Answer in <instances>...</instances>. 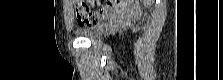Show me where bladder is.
Segmentation results:
<instances>
[{
  "label": "bladder",
  "mask_w": 223,
  "mask_h": 80,
  "mask_svg": "<svg viewBox=\"0 0 223 80\" xmlns=\"http://www.w3.org/2000/svg\"><path fill=\"white\" fill-rule=\"evenodd\" d=\"M106 27V24H99L90 27H79L76 29L75 33L80 37L95 39L100 37L105 32Z\"/></svg>",
  "instance_id": "obj_1"
}]
</instances>
